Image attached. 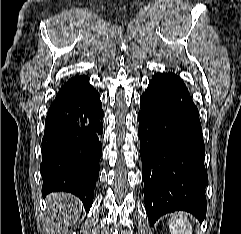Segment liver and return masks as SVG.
I'll list each match as a JSON object with an SVG mask.
<instances>
[{"label": "liver", "mask_w": 241, "mask_h": 234, "mask_svg": "<svg viewBox=\"0 0 241 234\" xmlns=\"http://www.w3.org/2000/svg\"><path fill=\"white\" fill-rule=\"evenodd\" d=\"M47 217L45 227L50 231H60L75 222L80 215L81 201L69 193H52L47 196Z\"/></svg>", "instance_id": "1"}]
</instances>
